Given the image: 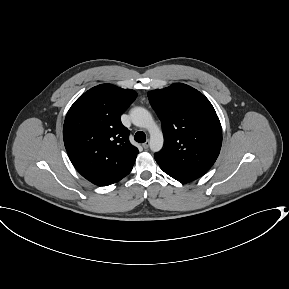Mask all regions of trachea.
Returning a JSON list of instances; mask_svg holds the SVG:
<instances>
[{
  "label": "trachea",
  "mask_w": 289,
  "mask_h": 289,
  "mask_svg": "<svg viewBox=\"0 0 289 289\" xmlns=\"http://www.w3.org/2000/svg\"><path fill=\"white\" fill-rule=\"evenodd\" d=\"M134 139L139 143H144L146 141V135L143 131H138L136 132Z\"/></svg>",
  "instance_id": "1"
}]
</instances>
